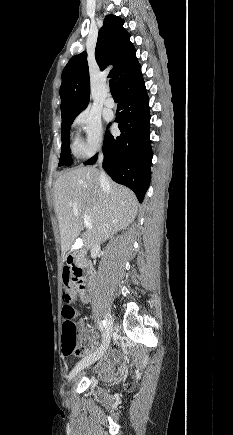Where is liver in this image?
Segmentation results:
<instances>
[{
    "instance_id": "liver-1",
    "label": "liver",
    "mask_w": 233,
    "mask_h": 435,
    "mask_svg": "<svg viewBox=\"0 0 233 435\" xmlns=\"http://www.w3.org/2000/svg\"><path fill=\"white\" fill-rule=\"evenodd\" d=\"M53 189L63 255L79 237L84 215L90 217L92 224L91 230L81 234L87 250L126 228L137 215L135 194L108 177L101 181L95 167L80 166L63 173Z\"/></svg>"
}]
</instances>
